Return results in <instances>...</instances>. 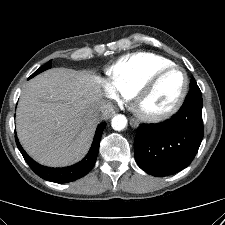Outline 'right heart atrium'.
<instances>
[{
    "instance_id": "right-heart-atrium-1",
    "label": "right heart atrium",
    "mask_w": 225,
    "mask_h": 225,
    "mask_svg": "<svg viewBox=\"0 0 225 225\" xmlns=\"http://www.w3.org/2000/svg\"><path fill=\"white\" fill-rule=\"evenodd\" d=\"M100 86L103 89L104 93L113 100H120L119 93L111 86L107 81L100 80Z\"/></svg>"
}]
</instances>
